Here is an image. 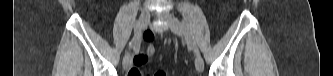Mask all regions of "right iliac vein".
<instances>
[{"instance_id":"1","label":"right iliac vein","mask_w":333,"mask_h":76,"mask_svg":"<svg viewBox=\"0 0 333 76\" xmlns=\"http://www.w3.org/2000/svg\"><path fill=\"white\" fill-rule=\"evenodd\" d=\"M150 21V12L147 8L142 9L139 19L136 23L135 30L142 31ZM131 65V56L127 53L123 58V67L128 69Z\"/></svg>"}]
</instances>
